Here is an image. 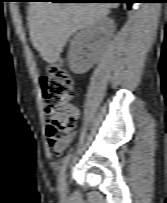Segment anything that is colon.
<instances>
[{
    "mask_svg": "<svg viewBox=\"0 0 167 203\" xmlns=\"http://www.w3.org/2000/svg\"><path fill=\"white\" fill-rule=\"evenodd\" d=\"M44 99L47 121V135L50 146H55L62 138L70 135L77 120L76 110L69 106L74 96V82L61 62L47 66L46 75L39 79Z\"/></svg>",
    "mask_w": 167,
    "mask_h": 203,
    "instance_id": "colon-1",
    "label": "colon"
}]
</instances>
